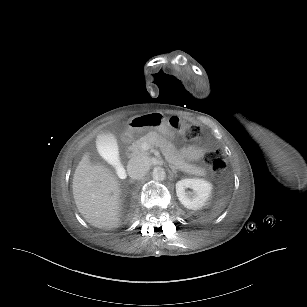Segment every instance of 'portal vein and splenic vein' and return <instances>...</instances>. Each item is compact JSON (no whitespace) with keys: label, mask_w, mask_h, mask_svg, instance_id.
<instances>
[{"label":"portal vein and splenic vein","mask_w":307,"mask_h":307,"mask_svg":"<svg viewBox=\"0 0 307 307\" xmlns=\"http://www.w3.org/2000/svg\"><path fill=\"white\" fill-rule=\"evenodd\" d=\"M149 148H153V146H150L148 143H145L143 145V147L141 148L142 152H145L146 150H148Z\"/></svg>","instance_id":"obj_1"}]
</instances>
